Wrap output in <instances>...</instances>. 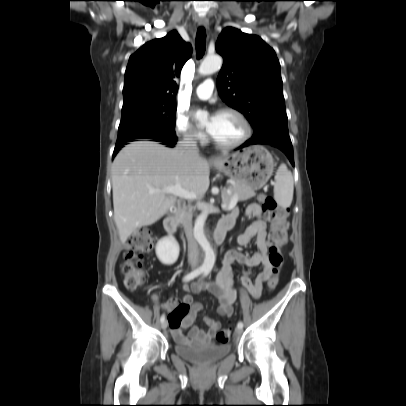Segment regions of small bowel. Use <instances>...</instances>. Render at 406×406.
<instances>
[{"label": "small bowel", "mask_w": 406, "mask_h": 406, "mask_svg": "<svg viewBox=\"0 0 406 406\" xmlns=\"http://www.w3.org/2000/svg\"><path fill=\"white\" fill-rule=\"evenodd\" d=\"M245 215L248 219L253 217L255 219L247 226L245 231L237 237V242L239 245H247L249 242L254 241L258 249L257 252L252 256H247L239 251L229 250L224 254L221 268L213 281L202 282L196 286L189 284L182 285V289L186 292H197L204 288L212 292L219 301L218 312L225 318H229L233 315V304L238 294V291L233 287L232 266L234 264L241 267L243 271V275L239 279L241 289L248 292L255 299L261 296L264 284L273 274V267L269 261L266 243L267 226L262 217V208L256 203L251 204L247 208ZM236 217L237 211L233 210L229 215L224 217L222 221H231L234 223ZM256 266H261L262 270L257 275L255 281H252L250 272L245 267ZM153 300L158 301L157 295H153ZM162 307L172 312L177 307H185L188 309V313L180 319L178 326L173 327L170 324L173 335L182 343H189L190 339L198 343H211L214 335L221 327V323L212 317L205 318V322L208 325V329L206 330L192 326L195 313L202 309V305L193 303L192 296L189 294L184 296L180 301L172 296ZM187 328H190L188 337L183 334V330Z\"/></svg>", "instance_id": "obj_1"}]
</instances>
